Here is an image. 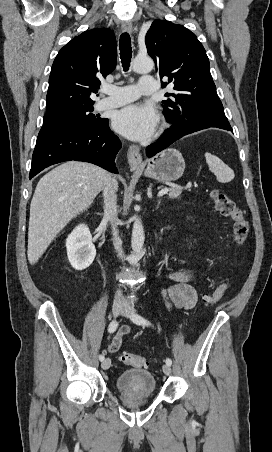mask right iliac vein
<instances>
[{
  "mask_svg": "<svg viewBox=\"0 0 272 452\" xmlns=\"http://www.w3.org/2000/svg\"><path fill=\"white\" fill-rule=\"evenodd\" d=\"M121 309H122V303L119 301L114 302L112 305V315L114 317H117L119 315ZM110 365H111V360L109 358H106L101 364L102 369H104V370H107L110 367Z\"/></svg>",
  "mask_w": 272,
  "mask_h": 452,
  "instance_id": "obj_1",
  "label": "right iliac vein"
}]
</instances>
